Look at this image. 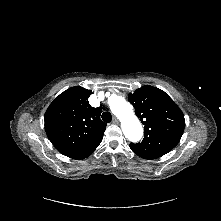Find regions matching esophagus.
Returning a JSON list of instances; mask_svg holds the SVG:
<instances>
[{
  "label": "esophagus",
  "instance_id": "1",
  "mask_svg": "<svg viewBox=\"0 0 221 221\" xmlns=\"http://www.w3.org/2000/svg\"><path fill=\"white\" fill-rule=\"evenodd\" d=\"M118 122H119L118 118L113 117L112 123H114V124H118Z\"/></svg>",
  "mask_w": 221,
  "mask_h": 221
}]
</instances>
